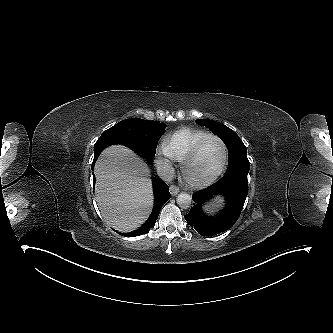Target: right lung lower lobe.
I'll list each match as a JSON object with an SVG mask.
<instances>
[{"mask_svg": "<svg viewBox=\"0 0 333 333\" xmlns=\"http://www.w3.org/2000/svg\"><path fill=\"white\" fill-rule=\"evenodd\" d=\"M113 144H123L141 156H144L141 154L136 147L124 136L119 135L117 133H112L105 131L103 134L100 136V138L97 140L96 144L94 145V160L92 164V170L94 167V164L101 153V151ZM93 179L95 183V176L93 174ZM153 189H154V208L152 210V213L148 220L137 230L130 232V233H120L121 235L127 236V237H136L139 235H142L146 233L156 222L157 217L159 215V212L164 205V203L170 198V193L168 189V185L164 183L161 180L158 179H153Z\"/></svg>", "mask_w": 333, "mask_h": 333, "instance_id": "right-lung-lower-lobe-1", "label": "right lung lower lobe"}]
</instances>
